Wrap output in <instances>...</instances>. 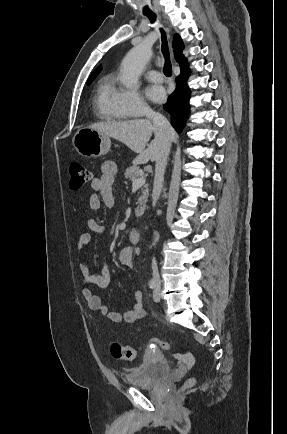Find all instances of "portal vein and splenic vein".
Instances as JSON below:
<instances>
[{
  "mask_svg": "<svg viewBox=\"0 0 287 434\" xmlns=\"http://www.w3.org/2000/svg\"><path fill=\"white\" fill-rule=\"evenodd\" d=\"M145 178L141 177V178H137L136 180L133 181L132 183V187L133 188H140L141 186H143L145 184Z\"/></svg>",
  "mask_w": 287,
  "mask_h": 434,
  "instance_id": "1",
  "label": "portal vein and splenic vein"
}]
</instances>
